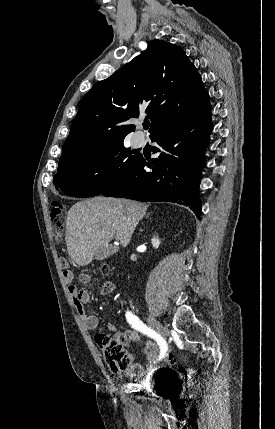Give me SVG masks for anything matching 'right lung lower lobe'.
<instances>
[{
	"label": "right lung lower lobe",
	"instance_id": "1",
	"mask_svg": "<svg viewBox=\"0 0 275 429\" xmlns=\"http://www.w3.org/2000/svg\"><path fill=\"white\" fill-rule=\"evenodd\" d=\"M211 108L199 117L168 126L150 136L157 143V158L141 156L133 170L104 196L138 201H168L188 206L200 218L198 186L203 154L212 131ZM150 168L145 170L144 166Z\"/></svg>",
	"mask_w": 275,
	"mask_h": 429
}]
</instances>
